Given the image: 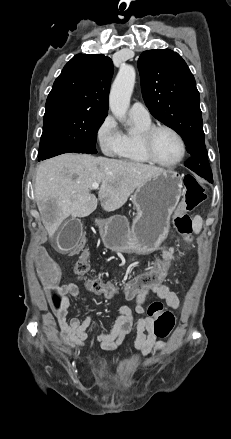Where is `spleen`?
<instances>
[{"mask_svg":"<svg viewBox=\"0 0 231 439\" xmlns=\"http://www.w3.org/2000/svg\"><path fill=\"white\" fill-rule=\"evenodd\" d=\"M202 218L200 216H195L193 219V229L195 233H199L201 231L202 228Z\"/></svg>","mask_w":231,"mask_h":439,"instance_id":"3e777b00","label":"spleen"}]
</instances>
